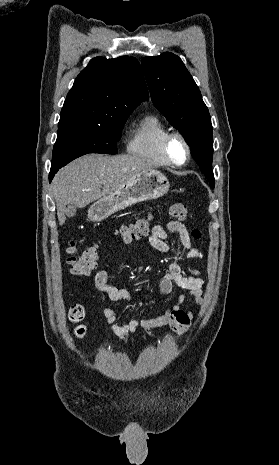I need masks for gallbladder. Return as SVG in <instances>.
<instances>
[{"label": "gallbladder", "instance_id": "1", "mask_svg": "<svg viewBox=\"0 0 279 465\" xmlns=\"http://www.w3.org/2000/svg\"><path fill=\"white\" fill-rule=\"evenodd\" d=\"M66 212H67V214H68L67 216L72 217V216H74V214H75L76 211H75L74 206H71V205H70V206L67 207Z\"/></svg>", "mask_w": 279, "mask_h": 465}]
</instances>
